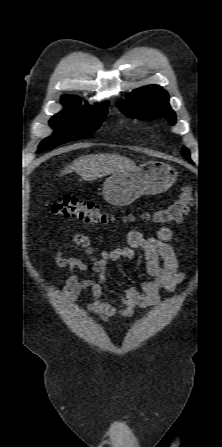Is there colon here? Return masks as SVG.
<instances>
[{
	"mask_svg": "<svg viewBox=\"0 0 222 447\" xmlns=\"http://www.w3.org/2000/svg\"><path fill=\"white\" fill-rule=\"evenodd\" d=\"M192 202V188L186 186L173 203L153 213L151 220L158 225L179 223L188 213ZM50 212L58 217L74 218L88 224H101L109 219L96 201L71 195L60 197L54 201L50 206Z\"/></svg>",
	"mask_w": 222,
	"mask_h": 447,
	"instance_id": "obj_1",
	"label": "colon"
}]
</instances>
